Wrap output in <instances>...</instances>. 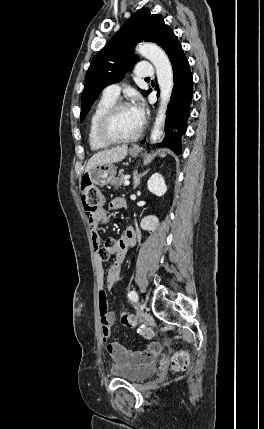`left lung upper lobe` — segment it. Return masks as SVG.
Returning <instances> with one entry per match:
<instances>
[{
    "mask_svg": "<svg viewBox=\"0 0 264 429\" xmlns=\"http://www.w3.org/2000/svg\"><path fill=\"white\" fill-rule=\"evenodd\" d=\"M161 15H153L148 8L135 12L99 51L87 70L81 101L80 120L83 121L90 107L106 86L119 82L138 60L134 46L141 41L155 42L161 46L166 34L171 31ZM151 90H143L147 96Z\"/></svg>",
    "mask_w": 264,
    "mask_h": 429,
    "instance_id": "1",
    "label": "left lung upper lobe"
}]
</instances>
